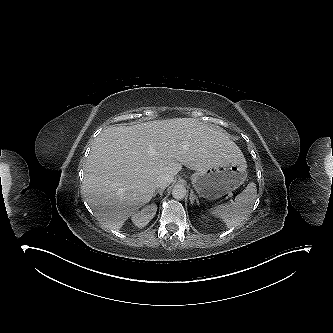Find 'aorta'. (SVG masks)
<instances>
[{"mask_svg": "<svg viewBox=\"0 0 333 333\" xmlns=\"http://www.w3.org/2000/svg\"><path fill=\"white\" fill-rule=\"evenodd\" d=\"M186 192L184 185L176 184L172 189V196L177 200H181L186 196Z\"/></svg>", "mask_w": 333, "mask_h": 333, "instance_id": "1", "label": "aorta"}]
</instances>
